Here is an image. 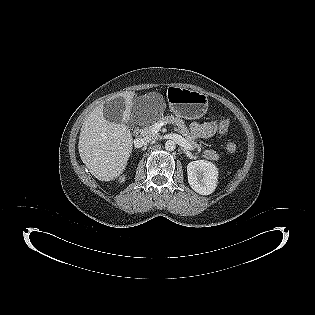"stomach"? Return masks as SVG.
Here are the masks:
<instances>
[{"instance_id":"stomach-1","label":"stomach","mask_w":315,"mask_h":315,"mask_svg":"<svg viewBox=\"0 0 315 315\" xmlns=\"http://www.w3.org/2000/svg\"><path fill=\"white\" fill-rule=\"evenodd\" d=\"M166 95L170 110L178 117L198 119L207 112L208 98L202 92L171 86Z\"/></svg>"}]
</instances>
